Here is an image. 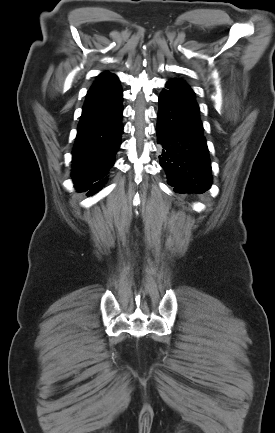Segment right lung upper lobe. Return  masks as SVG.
<instances>
[{
    "label": "right lung upper lobe",
    "instance_id": "1",
    "mask_svg": "<svg viewBox=\"0 0 275 433\" xmlns=\"http://www.w3.org/2000/svg\"><path fill=\"white\" fill-rule=\"evenodd\" d=\"M118 81L119 80L115 74H112L110 72H103L97 76L96 81L94 82L93 86L110 84V83H115Z\"/></svg>",
    "mask_w": 275,
    "mask_h": 433
}]
</instances>
